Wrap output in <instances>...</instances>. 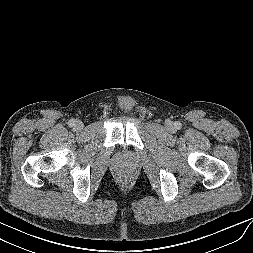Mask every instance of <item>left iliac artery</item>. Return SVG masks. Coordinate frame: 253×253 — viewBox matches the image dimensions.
I'll use <instances>...</instances> for the list:
<instances>
[{
  "label": "left iliac artery",
  "mask_w": 253,
  "mask_h": 253,
  "mask_svg": "<svg viewBox=\"0 0 253 253\" xmlns=\"http://www.w3.org/2000/svg\"><path fill=\"white\" fill-rule=\"evenodd\" d=\"M175 126H176L177 129H180V128H181V124L178 123V122L175 124Z\"/></svg>",
  "instance_id": "44dca946"
}]
</instances>
